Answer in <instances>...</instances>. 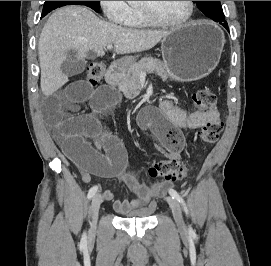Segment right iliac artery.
Listing matches in <instances>:
<instances>
[{
    "label": "right iliac artery",
    "instance_id": "82829eb1",
    "mask_svg": "<svg viewBox=\"0 0 271 266\" xmlns=\"http://www.w3.org/2000/svg\"><path fill=\"white\" fill-rule=\"evenodd\" d=\"M97 190H98V186H93L92 188H90L88 192V199H91L96 194ZM82 241L86 242V234L83 235Z\"/></svg>",
    "mask_w": 271,
    "mask_h": 266
}]
</instances>
